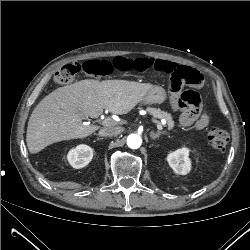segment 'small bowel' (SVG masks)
Wrapping results in <instances>:
<instances>
[{
    "mask_svg": "<svg viewBox=\"0 0 250 250\" xmlns=\"http://www.w3.org/2000/svg\"><path fill=\"white\" fill-rule=\"evenodd\" d=\"M180 66L172 61L157 58H138L135 59V70L148 71L155 70L158 72L173 73ZM180 121L184 126H193L196 130H203L209 124V115L203 104L197 107L185 109L180 117Z\"/></svg>",
    "mask_w": 250,
    "mask_h": 250,
    "instance_id": "1",
    "label": "small bowel"
}]
</instances>
